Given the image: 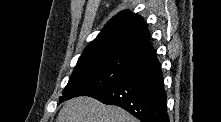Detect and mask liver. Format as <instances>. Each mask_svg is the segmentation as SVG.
Here are the masks:
<instances>
[{
  "label": "liver",
  "mask_w": 221,
  "mask_h": 122,
  "mask_svg": "<svg viewBox=\"0 0 221 122\" xmlns=\"http://www.w3.org/2000/svg\"><path fill=\"white\" fill-rule=\"evenodd\" d=\"M56 122H137V119L118 106L83 96L68 100Z\"/></svg>",
  "instance_id": "liver-1"
}]
</instances>
